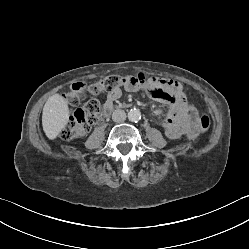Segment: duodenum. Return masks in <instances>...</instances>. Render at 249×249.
<instances>
[{
    "label": "duodenum",
    "mask_w": 249,
    "mask_h": 249,
    "mask_svg": "<svg viewBox=\"0 0 249 249\" xmlns=\"http://www.w3.org/2000/svg\"><path fill=\"white\" fill-rule=\"evenodd\" d=\"M114 109V107H112L111 109H110V111H112Z\"/></svg>",
    "instance_id": "1"
}]
</instances>
